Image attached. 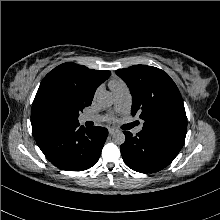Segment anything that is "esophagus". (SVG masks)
I'll use <instances>...</instances> for the list:
<instances>
[{
	"mask_svg": "<svg viewBox=\"0 0 220 220\" xmlns=\"http://www.w3.org/2000/svg\"><path fill=\"white\" fill-rule=\"evenodd\" d=\"M115 132H117V129L115 128H109V134L113 135Z\"/></svg>",
	"mask_w": 220,
	"mask_h": 220,
	"instance_id": "1",
	"label": "esophagus"
}]
</instances>
